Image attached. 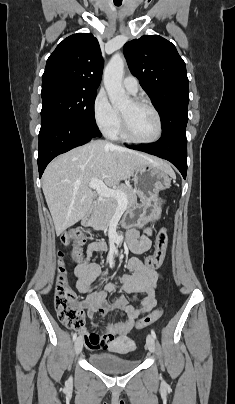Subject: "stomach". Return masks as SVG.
<instances>
[{
    "label": "stomach",
    "mask_w": 235,
    "mask_h": 404,
    "mask_svg": "<svg viewBox=\"0 0 235 404\" xmlns=\"http://www.w3.org/2000/svg\"><path fill=\"white\" fill-rule=\"evenodd\" d=\"M135 190L140 203L132 206L124 217L126 227H144L160 218L159 193L171 186L169 174L152 163L139 166L134 173Z\"/></svg>",
    "instance_id": "stomach-1"
}]
</instances>
